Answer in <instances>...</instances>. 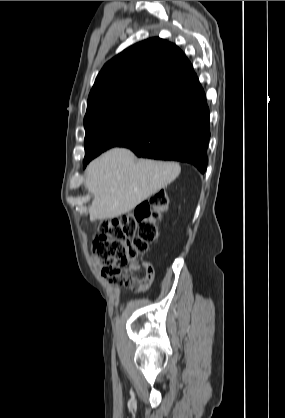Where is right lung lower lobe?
Here are the masks:
<instances>
[{
    "label": "right lung lower lobe",
    "instance_id": "obj_1",
    "mask_svg": "<svg viewBox=\"0 0 285 418\" xmlns=\"http://www.w3.org/2000/svg\"><path fill=\"white\" fill-rule=\"evenodd\" d=\"M209 117L202 90L170 107L158 121L119 147L129 148L138 157L186 162L204 173L208 163Z\"/></svg>",
    "mask_w": 285,
    "mask_h": 418
}]
</instances>
